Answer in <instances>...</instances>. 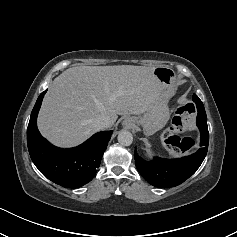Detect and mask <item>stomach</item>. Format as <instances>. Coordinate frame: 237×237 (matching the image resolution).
<instances>
[{
	"label": "stomach",
	"instance_id": "0dacf381",
	"mask_svg": "<svg viewBox=\"0 0 237 237\" xmlns=\"http://www.w3.org/2000/svg\"><path fill=\"white\" fill-rule=\"evenodd\" d=\"M154 76L159 84L155 101L142 115L133 117L143 127L145 135L154 134L169 120L168 100L176 85V73L169 67H156Z\"/></svg>",
	"mask_w": 237,
	"mask_h": 237
}]
</instances>
